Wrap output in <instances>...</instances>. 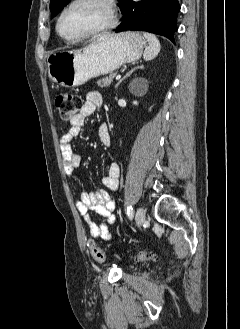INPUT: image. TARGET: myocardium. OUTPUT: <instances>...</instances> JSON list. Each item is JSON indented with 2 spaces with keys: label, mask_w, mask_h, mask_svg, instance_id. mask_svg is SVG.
<instances>
[{
  "label": "myocardium",
  "mask_w": 240,
  "mask_h": 329,
  "mask_svg": "<svg viewBox=\"0 0 240 329\" xmlns=\"http://www.w3.org/2000/svg\"><path fill=\"white\" fill-rule=\"evenodd\" d=\"M82 0H71L60 12L59 15L57 17L56 20V24H55V29L57 34L65 41L67 42H77L92 36H96L105 32L110 31L111 29H113L117 23H118V14H117V9H116V5H115V1L114 0H100L102 3H104L106 5V7L108 8L109 11V22L99 28H96L94 30H91L85 34L76 36V37H66L64 36L61 31H60V22L64 16V14L75 4L81 2Z\"/></svg>",
  "instance_id": "obj_1"
}]
</instances>
